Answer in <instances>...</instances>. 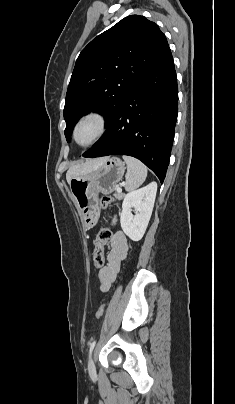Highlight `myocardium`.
I'll return each instance as SVG.
<instances>
[{
  "label": "myocardium",
  "mask_w": 235,
  "mask_h": 404,
  "mask_svg": "<svg viewBox=\"0 0 235 404\" xmlns=\"http://www.w3.org/2000/svg\"><path fill=\"white\" fill-rule=\"evenodd\" d=\"M88 122H92L95 125V134L89 140L81 142L78 139L79 130L84 124ZM106 130H107L106 116L99 111H89L83 114L75 123L72 132V138L77 146L81 148H86L99 141L104 136Z\"/></svg>",
  "instance_id": "obj_1"
}]
</instances>
